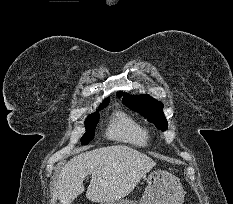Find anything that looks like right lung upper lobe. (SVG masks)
Here are the masks:
<instances>
[{
    "instance_id": "right-lung-upper-lobe-1",
    "label": "right lung upper lobe",
    "mask_w": 233,
    "mask_h": 204,
    "mask_svg": "<svg viewBox=\"0 0 233 204\" xmlns=\"http://www.w3.org/2000/svg\"><path fill=\"white\" fill-rule=\"evenodd\" d=\"M107 101H109V99L104 100V102H107Z\"/></svg>"
}]
</instances>
